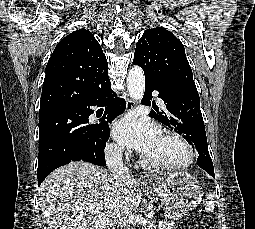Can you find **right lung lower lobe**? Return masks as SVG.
Returning <instances> with one entry per match:
<instances>
[{"mask_svg":"<svg viewBox=\"0 0 255 229\" xmlns=\"http://www.w3.org/2000/svg\"><path fill=\"white\" fill-rule=\"evenodd\" d=\"M102 105L106 106L103 119L101 120V124H98V125L95 124V125L97 126V129L99 133L101 134L102 138L104 139L105 145H106V141L109 137V126L107 125V122H111L112 120H114L118 115L123 113L126 108L125 101L123 99H117L116 93L112 91L110 82H106L103 86L95 90L86 101L73 106L59 107V108L47 110L45 112L40 113V118L50 117V116L60 114L64 111H69V110L79 112L89 118V116L93 114L94 112L90 107L102 106ZM73 161H87L99 166L106 165L104 153L99 158H95V159L79 158V159L71 160L70 162H73ZM70 162H67L66 164ZM54 169L56 168H53L47 171H39L38 169L37 170L38 185H40L43 182V180L47 177V175H49Z\"/></svg>","mask_w":255,"mask_h":229,"instance_id":"right-lung-lower-lobe-1","label":"right lung lower lobe"}]
</instances>
